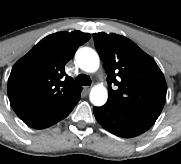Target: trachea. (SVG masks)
Instances as JSON below:
<instances>
[{
    "label": "trachea",
    "instance_id": "obj_1",
    "mask_svg": "<svg viewBox=\"0 0 181 164\" xmlns=\"http://www.w3.org/2000/svg\"><path fill=\"white\" fill-rule=\"evenodd\" d=\"M75 84H77V85H91V79L87 75L80 74L76 77Z\"/></svg>",
    "mask_w": 181,
    "mask_h": 164
}]
</instances>
